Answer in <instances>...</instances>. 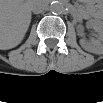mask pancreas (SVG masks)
<instances>
[{"instance_id": "pancreas-1", "label": "pancreas", "mask_w": 103, "mask_h": 103, "mask_svg": "<svg viewBox=\"0 0 103 103\" xmlns=\"http://www.w3.org/2000/svg\"><path fill=\"white\" fill-rule=\"evenodd\" d=\"M78 13L84 18H88V15L86 14L85 10L80 5H78Z\"/></svg>"}]
</instances>
